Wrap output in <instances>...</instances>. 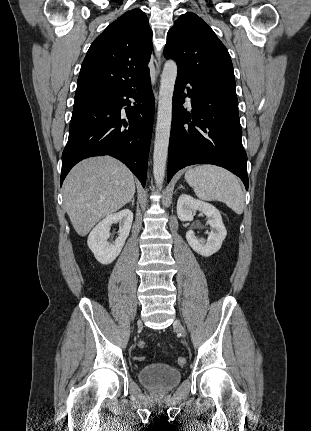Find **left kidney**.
<instances>
[{"mask_svg":"<svg viewBox=\"0 0 311 431\" xmlns=\"http://www.w3.org/2000/svg\"><path fill=\"white\" fill-rule=\"evenodd\" d=\"M195 212H201V214L208 217L207 223L211 225V231L208 233L207 239H198L193 229H189L186 233V239L194 251L204 255V257H209V255H213L220 249L222 241L226 237L227 229L219 210L214 208L212 204H207V202H201V200H195L192 196L182 194L177 202V216L179 219L181 221H191Z\"/></svg>","mask_w":311,"mask_h":431,"instance_id":"5707ae66","label":"left kidney"}]
</instances>
